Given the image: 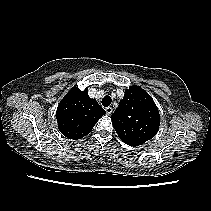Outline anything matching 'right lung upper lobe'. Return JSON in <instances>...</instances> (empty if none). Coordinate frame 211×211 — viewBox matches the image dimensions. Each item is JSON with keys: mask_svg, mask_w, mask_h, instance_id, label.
Wrapping results in <instances>:
<instances>
[{"mask_svg": "<svg viewBox=\"0 0 211 211\" xmlns=\"http://www.w3.org/2000/svg\"><path fill=\"white\" fill-rule=\"evenodd\" d=\"M105 113L98 102L89 97L87 89L72 87L59 103L56 119L65 137L78 140L89 134Z\"/></svg>", "mask_w": 211, "mask_h": 211, "instance_id": "right-lung-upper-lobe-1", "label": "right lung upper lobe"}]
</instances>
